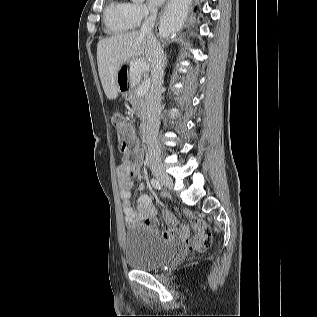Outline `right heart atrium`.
Segmentation results:
<instances>
[{
    "label": "right heart atrium",
    "instance_id": "right-heart-atrium-1",
    "mask_svg": "<svg viewBox=\"0 0 317 317\" xmlns=\"http://www.w3.org/2000/svg\"><path fill=\"white\" fill-rule=\"evenodd\" d=\"M129 13L135 26L140 25L144 20L149 18L154 10L153 8L142 2L128 3Z\"/></svg>",
    "mask_w": 317,
    "mask_h": 317
}]
</instances>
